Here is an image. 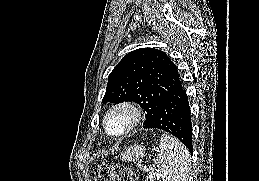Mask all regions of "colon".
I'll use <instances>...</instances> for the list:
<instances>
[{
    "label": "colon",
    "mask_w": 259,
    "mask_h": 181,
    "mask_svg": "<svg viewBox=\"0 0 259 181\" xmlns=\"http://www.w3.org/2000/svg\"><path fill=\"white\" fill-rule=\"evenodd\" d=\"M94 175L95 181H136L132 170L121 164H99Z\"/></svg>",
    "instance_id": "obj_1"
}]
</instances>
